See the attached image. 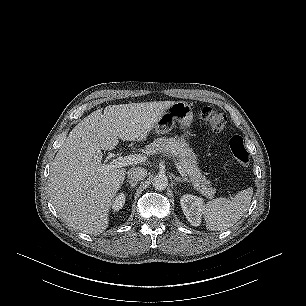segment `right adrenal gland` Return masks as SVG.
Instances as JSON below:
<instances>
[{"label": "right adrenal gland", "instance_id": "obj_1", "mask_svg": "<svg viewBox=\"0 0 306 306\" xmlns=\"http://www.w3.org/2000/svg\"><path fill=\"white\" fill-rule=\"evenodd\" d=\"M127 186L130 185L131 188H134L137 185V182L127 181Z\"/></svg>", "mask_w": 306, "mask_h": 306}]
</instances>
